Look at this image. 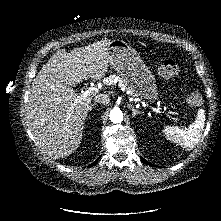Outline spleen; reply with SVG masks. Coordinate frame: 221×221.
<instances>
[{
	"mask_svg": "<svg viewBox=\"0 0 221 221\" xmlns=\"http://www.w3.org/2000/svg\"><path fill=\"white\" fill-rule=\"evenodd\" d=\"M205 112L200 109L197 120L189 126L187 130L176 126H166L163 132L168 140L179 143L183 148L190 150L196 146L201 138V131L204 128Z\"/></svg>",
	"mask_w": 221,
	"mask_h": 221,
	"instance_id": "3e777b00",
	"label": "spleen"
}]
</instances>
